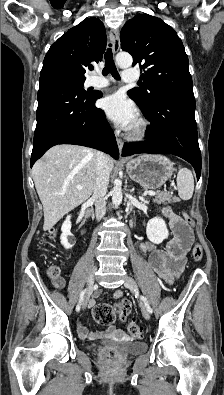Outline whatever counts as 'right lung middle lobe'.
Returning a JSON list of instances; mask_svg holds the SVG:
<instances>
[{
  "mask_svg": "<svg viewBox=\"0 0 224 395\" xmlns=\"http://www.w3.org/2000/svg\"><path fill=\"white\" fill-rule=\"evenodd\" d=\"M40 77H50V78L56 79L60 82L65 83L69 87L73 88L81 95L88 94V92H86L83 89V84H84L85 79L77 78V77L71 76L65 72L58 71V70H52V71L46 72L44 74H41Z\"/></svg>",
  "mask_w": 224,
  "mask_h": 395,
  "instance_id": "dd1d6c3e",
  "label": "right lung middle lobe"
}]
</instances>
